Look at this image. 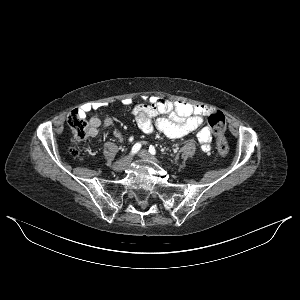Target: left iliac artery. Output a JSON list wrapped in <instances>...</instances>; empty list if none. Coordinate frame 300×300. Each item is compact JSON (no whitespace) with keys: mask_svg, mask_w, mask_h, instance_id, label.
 <instances>
[{"mask_svg":"<svg viewBox=\"0 0 300 300\" xmlns=\"http://www.w3.org/2000/svg\"><path fill=\"white\" fill-rule=\"evenodd\" d=\"M149 152H150V154L155 155V154H156L155 147L151 145V146L149 147Z\"/></svg>","mask_w":300,"mask_h":300,"instance_id":"obj_1","label":"left iliac artery"}]
</instances>
